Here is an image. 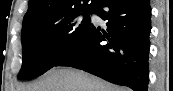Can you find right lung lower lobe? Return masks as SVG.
<instances>
[{"instance_id":"right-lung-lower-lobe-1","label":"right lung lower lobe","mask_w":173,"mask_h":91,"mask_svg":"<svg viewBox=\"0 0 173 91\" xmlns=\"http://www.w3.org/2000/svg\"><path fill=\"white\" fill-rule=\"evenodd\" d=\"M93 12L108 21L107 27L92 24L54 66L74 67L134 91H147L150 0H98Z\"/></svg>"}]
</instances>
